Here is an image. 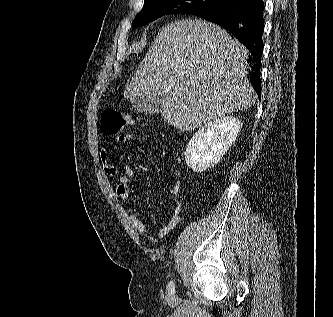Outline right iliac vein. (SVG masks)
I'll return each instance as SVG.
<instances>
[{
	"mask_svg": "<svg viewBox=\"0 0 333 317\" xmlns=\"http://www.w3.org/2000/svg\"><path fill=\"white\" fill-rule=\"evenodd\" d=\"M170 298H173V295H170Z\"/></svg>",
	"mask_w": 333,
	"mask_h": 317,
	"instance_id": "right-iliac-vein-1",
	"label": "right iliac vein"
}]
</instances>
